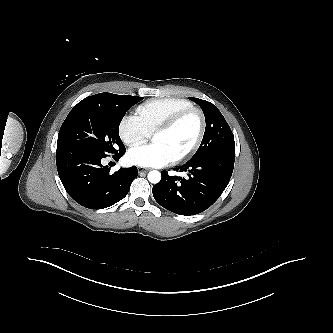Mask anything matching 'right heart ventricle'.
Here are the masks:
<instances>
[{
  "label": "right heart ventricle",
  "instance_id": "e07e8e85",
  "mask_svg": "<svg viewBox=\"0 0 333 333\" xmlns=\"http://www.w3.org/2000/svg\"><path fill=\"white\" fill-rule=\"evenodd\" d=\"M193 107V104L183 98H155L138 106L137 113L149 133L175 114Z\"/></svg>",
  "mask_w": 333,
  "mask_h": 333
}]
</instances>
